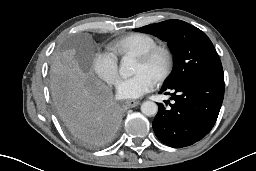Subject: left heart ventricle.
I'll use <instances>...</instances> for the list:
<instances>
[{
    "instance_id": "b2bd125f",
    "label": "left heart ventricle",
    "mask_w": 256,
    "mask_h": 171,
    "mask_svg": "<svg viewBox=\"0 0 256 171\" xmlns=\"http://www.w3.org/2000/svg\"><path fill=\"white\" fill-rule=\"evenodd\" d=\"M162 66L161 61L157 60L152 64H144L143 62L139 61L137 59L134 73H145L147 74L151 79H155L156 75L160 71Z\"/></svg>"
}]
</instances>
